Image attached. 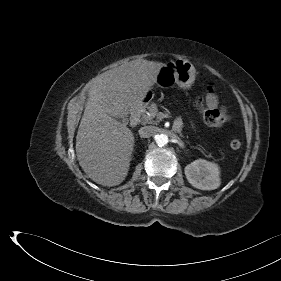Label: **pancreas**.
<instances>
[{"label":"pancreas","instance_id":"1","mask_svg":"<svg viewBox=\"0 0 281 281\" xmlns=\"http://www.w3.org/2000/svg\"><path fill=\"white\" fill-rule=\"evenodd\" d=\"M148 110L150 114H143L142 115V121L144 124H157L160 122V119L162 117V113L158 111L157 105L155 103L151 104L150 107H148ZM154 118H156L154 120Z\"/></svg>","mask_w":281,"mask_h":281}]
</instances>
